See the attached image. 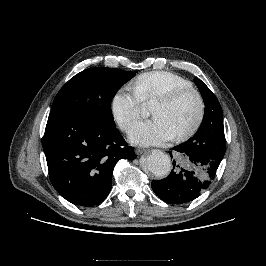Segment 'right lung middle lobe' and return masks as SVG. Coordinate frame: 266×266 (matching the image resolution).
<instances>
[{
  "label": "right lung middle lobe",
  "mask_w": 266,
  "mask_h": 266,
  "mask_svg": "<svg viewBox=\"0 0 266 266\" xmlns=\"http://www.w3.org/2000/svg\"><path fill=\"white\" fill-rule=\"evenodd\" d=\"M134 72L113 68H89L72 77L56 95L52 112L84 116L114 124L111 100Z\"/></svg>",
  "instance_id": "obj_1"
}]
</instances>
